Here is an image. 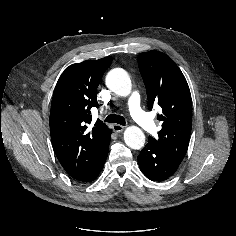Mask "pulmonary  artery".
I'll return each instance as SVG.
<instances>
[{"label":"pulmonary artery","mask_w":236,"mask_h":236,"mask_svg":"<svg viewBox=\"0 0 236 236\" xmlns=\"http://www.w3.org/2000/svg\"><path fill=\"white\" fill-rule=\"evenodd\" d=\"M128 107L134 120L146 131L155 132L156 126L150 116L140 106V95L138 92H131L128 99Z\"/></svg>","instance_id":"obj_1"}]
</instances>
